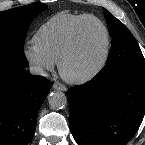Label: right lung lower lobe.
<instances>
[{
	"instance_id": "1",
	"label": "right lung lower lobe",
	"mask_w": 145,
	"mask_h": 145,
	"mask_svg": "<svg viewBox=\"0 0 145 145\" xmlns=\"http://www.w3.org/2000/svg\"><path fill=\"white\" fill-rule=\"evenodd\" d=\"M50 91L42 76L23 68L0 74V145H27L36 129L38 111Z\"/></svg>"
}]
</instances>
